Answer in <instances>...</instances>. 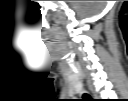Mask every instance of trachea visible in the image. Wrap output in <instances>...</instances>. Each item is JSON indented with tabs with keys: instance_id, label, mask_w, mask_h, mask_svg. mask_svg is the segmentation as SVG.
Returning a JSON list of instances; mask_svg holds the SVG:
<instances>
[{
	"instance_id": "1",
	"label": "trachea",
	"mask_w": 128,
	"mask_h": 101,
	"mask_svg": "<svg viewBox=\"0 0 128 101\" xmlns=\"http://www.w3.org/2000/svg\"><path fill=\"white\" fill-rule=\"evenodd\" d=\"M90 97L88 94L83 95V101H89Z\"/></svg>"
}]
</instances>
